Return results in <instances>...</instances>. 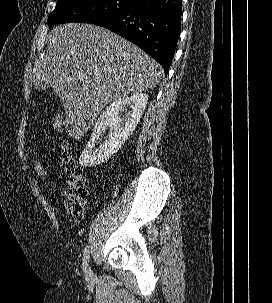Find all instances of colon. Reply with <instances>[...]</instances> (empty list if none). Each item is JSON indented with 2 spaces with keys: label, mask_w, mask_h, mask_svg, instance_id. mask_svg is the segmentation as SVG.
Masks as SVG:
<instances>
[{
  "label": "colon",
  "mask_w": 272,
  "mask_h": 303,
  "mask_svg": "<svg viewBox=\"0 0 272 303\" xmlns=\"http://www.w3.org/2000/svg\"><path fill=\"white\" fill-rule=\"evenodd\" d=\"M63 121L61 117H56L53 122L55 132L62 131ZM60 159L69 181L64 190V206L68 217L72 220H79L83 216L87 190L81 182V169L76 163L72 148L69 142L65 141L61 146ZM33 173L37 178L45 179L49 176L47 163L35 158L32 163Z\"/></svg>",
  "instance_id": "colon-1"
}]
</instances>
